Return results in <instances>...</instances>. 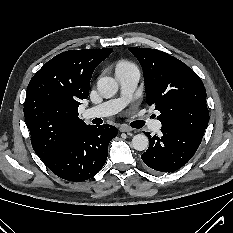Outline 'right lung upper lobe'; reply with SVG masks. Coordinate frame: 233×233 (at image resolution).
<instances>
[{
  "instance_id": "1",
  "label": "right lung upper lobe",
  "mask_w": 233,
  "mask_h": 233,
  "mask_svg": "<svg viewBox=\"0 0 233 233\" xmlns=\"http://www.w3.org/2000/svg\"><path fill=\"white\" fill-rule=\"evenodd\" d=\"M113 49L70 50L58 54L32 77L24 105L31 144L40 158L55 151L60 143L87 126L78 118V106L89 95L96 66Z\"/></svg>"
}]
</instances>
